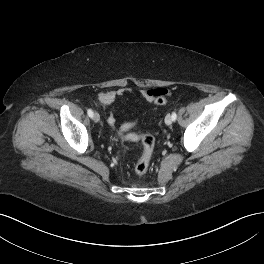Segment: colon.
<instances>
[{"instance_id":"1","label":"colon","mask_w":264,"mask_h":264,"mask_svg":"<svg viewBox=\"0 0 264 264\" xmlns=\"http://www.w3.org/2000/svg\"><path fill=\"white\" fill-rule=\"evenodd\" d=\"M154 103L156 105H164L166 104V98L159 97L154 101ZM134 126L135 124L132 122L125 123L122 125L120 132L123 139L132 142H140L142 144V154L134 166L135 174L141 176L147 172L150 166L154 153L155 140L153 136L149 134H136L130 132Z\"/></svg>"}]
</instances>
